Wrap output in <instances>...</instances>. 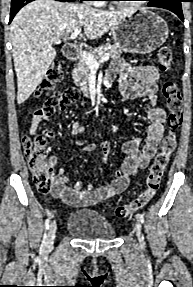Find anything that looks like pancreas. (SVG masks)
I'll use <instances>...</instances> for the list:
<instances>
[{"mask_svg": "<svg viewBox=\"0 0 193 287\" xmlns=\"http://www.w3.org/2000/svg\"><path fill=\"white\" fill-rule=\"evenodd\" d=\"M104 52L109 53L110 57L113 59H118L120 55L122 54V47L118 44H106V45H101L97 49H95L92 52V56L96 59L99 58V54H102ZM78 63L76 64L72 78L74 81V84L77 86H80L81 91L87 95V83H88V78H89V73H90V67L87 65L85 62L84 58L82 55L77 56Z\"/></svg>", "mask_w": 193, "mask_h": 287, "instance_id": "obj_1", "label": "pancreas"}]
</instances>
